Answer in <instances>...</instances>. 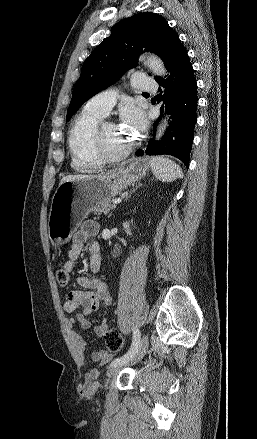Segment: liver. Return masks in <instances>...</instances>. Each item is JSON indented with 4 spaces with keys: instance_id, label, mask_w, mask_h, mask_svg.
<instances>
[{
    "instance_id": "obj_1",
    "label": "liver",
    "mask_w": 257,
    "mask_h": 439,
    "mask_svg": "<svg viewBox=\"0 0 257 439\" xmlns=\"http://www.w3.org/2000/svg\"><path fill=\"white\" fill-rule=\"evenodd\" d=\"M90 177H93V175H69V176L63 177L60 181V184L66 182V181H73V180H77V179L90 178Z\"/></svg>"
}]
</instances>
